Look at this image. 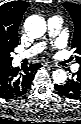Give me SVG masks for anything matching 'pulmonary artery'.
Listing matches in <instances>:
<instances>
[{"instance_id":"1","label":"pulmonary artery","mask_w":81,"mask_h":124,"mask_svg":"<svg viewBox=\"0 0 81 124\" xmlns=\"http://www.w3.org/2000/svg\"><path fill=\"white\" fill-rule=\"evenodd\" d=\"M62 18L59 16H51L50 18H48L47 20V28H48V34L51 37H55L57 35H59V33L61 32L62 29ZM45 47V43L44 42H39L37 44H35L34 46H32L31 48L24 50L23 52L19 53L16 57L15 60L16 61H21L22 59H27V58H31L35 55H37L38 53H40ZM72 70L73 71H77L78 70V65L77 64H73L72 65Z\"/></svg>"}]
</instances>
